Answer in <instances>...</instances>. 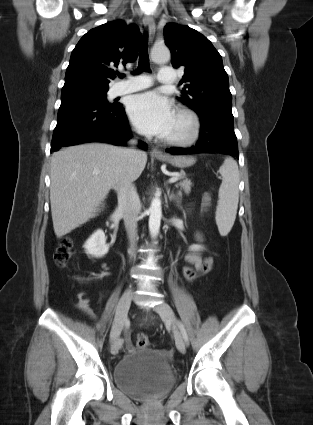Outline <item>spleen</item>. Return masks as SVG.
Wrapping results in <instances>:
<instances>
[{
    "label": "spleen",
    "mask_w": 313,
    "mask_h": 425,
    "mask_svg": "<svg viewBox=\"0 0 313 425\" xmlns=\"http://www.w3.org/2000/svg\"><path fill=\"white\" fill-rule=\"evenodd\" d=\"M222 184L219 188V200L216 209V224L221 236H226L236 219L239 202V170L237 162L227 157L219 169Z\"/></svg>",
    "instance_id": "1"
}]
</instances>
